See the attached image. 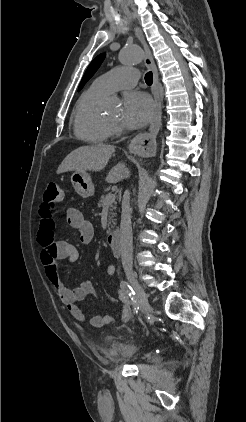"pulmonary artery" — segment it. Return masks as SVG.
<instances>
[{
  "label": "pulmonary artery",
  "instance_id": "e3ab8cb5",
  "mask_svg": "<svg viewBox=\"0 0 246 422\" xmlns=\"http://www.w3.org/2000/svg\"><path fill=\"white\" fill-rule=\"evenodd\" d=\"M138 79L139 73L136 69L120 67L95 79L93 86L105 94H110L116 90L135 86Z\"/></svg>",
  "mask_w": 246,
  "mask_h": 422
}]
</instances>
